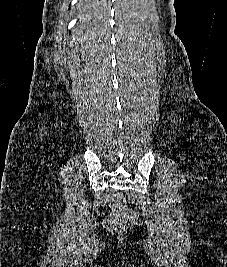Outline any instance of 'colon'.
Wrapping results in <instances>:
<instances>
[{
  "instance_id": "colon-1",
  "label": "colon",
  "mask_w": 227,
  "mask_h": 267,
  "mask_svg": "<svg viewBox=\"0 0 227 267\" xmlns=\"http://www.w3.org/2000/svg\"><path fill=\"white\" fill-rule=\"evenodd\" d=\"M137 222L132 209L127 207L125 199L121 195H115L112 202V213L109 224L116 231H125Z\"/></svg>"
}]
</instances>
